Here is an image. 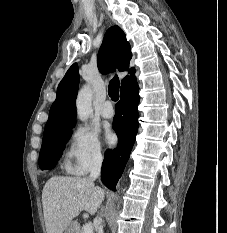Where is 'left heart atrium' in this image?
<instances>
[{
  "mask_svg": "<svg viewBox=\"0 0 227 233\" xmlns=\"http://www.w3.org/2000/svg\"><path fill=\"white\" fill-rule=\"evenodd\" d=\"M105 139L108 144H113L115 141V135L111 131H108L105 135Z\"/></svg>",
  "mask_w": 227,
  "mask_h": 233,
  "instance_id": "obj_1",
  "label": "left heart atrium"
}]
</instances>
